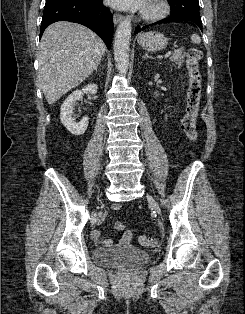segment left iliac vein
I'll list each match as a JSON object with an SVG mask.
<instances>
[{
    "instance_id": "obj_1",
    "label": "left iliac vein",
    "mask_w": 245,
    "mask_h": 314,
    "mask_svg": "<svg viewBox=\"0 0 245 314\" xmlns=\"http://www.w3.org/2000/svg\"><path fill=\"white\" fill-rule=\"evenodd\" d=\"M147 200L149 204L153 207V209L160 215L161 210L158 203L155 201V199L151 195L147 194Z\"/></svg>"
}]
</instances>
